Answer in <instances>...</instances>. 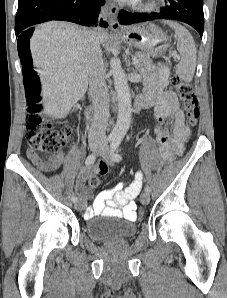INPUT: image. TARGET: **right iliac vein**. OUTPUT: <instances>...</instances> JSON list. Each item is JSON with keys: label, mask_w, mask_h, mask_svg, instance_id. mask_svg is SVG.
Instances as JSON below:
<instances>
[{"label": "right iliac vein", "mask_w": 227, "mask_h": 298, "mask_svg": "<svg viewBox=\"0 0 227 298\" xmlns=\"http://www.w3.org/2000/svg\"><path fill=\"white\" fill-rule=\"evenodd\" d=\"M91 150L96 151L99 148V144L98 143H92L90 145ZM74 207L76 210L81 211L84 209L85 204L81 201V200H77L76 202H74Z\"/></svg>", "instance_id": "1"}]
</instances>
